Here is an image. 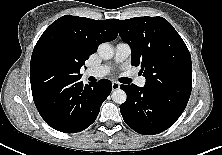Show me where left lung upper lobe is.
Returning <instances> with one entry per match:
<instances>
[{
	"label": "left lung upper lobe",
	"mask_w": 222,
	"mask_h": 155,
	"mask_svg": "<svg viewBox=\"0 0 222 155\" xmlns=\"http://www.w3.org/2000/svg\"><path fill=\"white\" fill-rule=\"evenodd\" d=\"M131 47L132 65L141 66L145 88L188 101L192 89L191 56L174 27L162 17L113 19Z\"/></svg>",
	"instance_id": "obj_1"
}]
</instances>
